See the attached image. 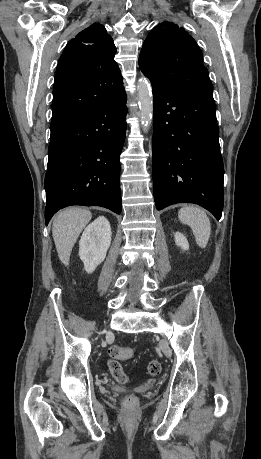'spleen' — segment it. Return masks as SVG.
Wrapping results in <instances>:
<instances>
[{
  "label": "spleen",
  "mask_w": 261,
  "mask_h": 459,
  "mask_svg": "<svg viewBox=\"0 0 261 459\" xmlns=\"http://www.w3.org/2000/svg\"><path fill=\"white\" fill-rule=\"evenodd\" d=\"M178 218L190 226L197 245L205 248L211 235V223L205 211L196 206H184L179 210Z\"/></svg>",
  "instance_id": "3e777b00"
}]
</instances>
